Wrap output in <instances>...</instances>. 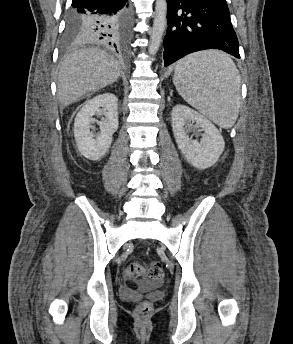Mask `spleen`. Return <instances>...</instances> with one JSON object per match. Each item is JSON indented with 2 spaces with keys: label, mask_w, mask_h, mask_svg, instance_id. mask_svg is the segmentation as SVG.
Masks as SVG:
<instances>
[{
  "label": "spleen",
  "mask_w": 293,
  "mask_h": 344,
  "mask_svg": "<svg viewBox=\"0 0 293 344\" xmlns=\"http://www.w3.org/2000/svg\"><path fill=\"white\" fill-rule=\"evenodd\" d=\"M178 93L191 106L224 128L235 123L240 106V74L221 51H201L178 61L173 77Z\"/></svg>",
  "instance_id": "obj_1"
}]
</instances>
